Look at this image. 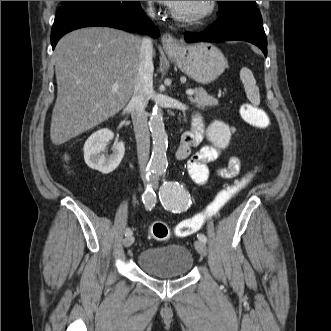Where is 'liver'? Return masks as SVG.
I'll return each instance as SVG.
<instances>
[{
    "mask_svg": "<svg viewBox=\"0 0 331 331\" xmlns=\"http://www.w3.org/2000/svg\"><path fill=\"white\" fill-rule=\"evenodd\" d=\"M141 42L139 36L107 27L82 28L59 40L54 51L53 144L69 141L126 106L138 76Z\"/></svg>",
    "mask_w": 331,
    "mask_h": 331,
    "instance_id": "obj_1",
    "label": "liver"
}]
</instances>
